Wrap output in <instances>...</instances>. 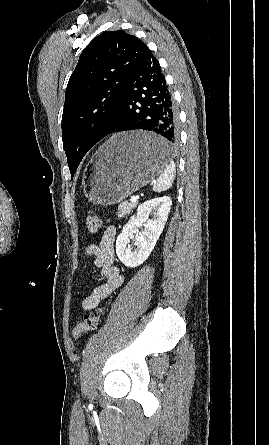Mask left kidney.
<instances>
[{
    "instance_id": "left-kidney-1",
    "label": "left kidney",
    "mask_w": 269,
    "mask_h": 445,
    "mask_svg": "<svg viewBox=\"0 0 269 445\" xmlns=\"http://www.w3.org/2000/svg\"><path fill=\"white\" fill-rule=\"evenodd\" d=\"M171 205V198L163 196L138 206L136 214L123 227L116 240L117 256L125 266L137 267L148 258L164 229ZM150 213L152 219H149ZM139 226L144 230L135 236L136 249L132 250L127 244Z\"/></svg>"
}]
</instances>
